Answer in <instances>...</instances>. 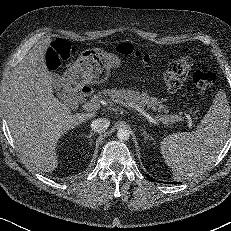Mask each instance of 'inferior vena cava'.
I'll use <instances>...</instances> for the list:
<instances>
[{"label":"inferior vena cava","instance_id":"inferior-vena-cava-1","mask_svg":"<svg viewBox=\"0 0 231 231\" xmlns=\"http://www.w3.org/2000/svg\"><path fill=\"white\" fill-rule=\"evenodd\" d=\"M110 125V121L107 118H98L92 121L91 128L97 133L104 132Z\"/></svg>","mask_w":231,"mask_h":231}]
</instances>
